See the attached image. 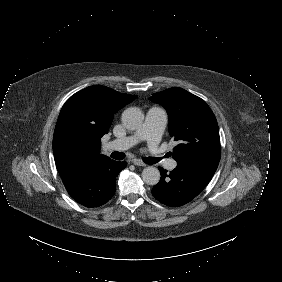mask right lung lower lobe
<instances>
[{
    "mask_svg": "<svg viewBox=\"0 0 282 282\" xmlns=\"http://www.w3.org/2000/svg\"><path fill=\"white\" fill-rule=\"evenodd\" d=\"M127 163L104 158L61 177L70 196L86 207L108 202L116 191V177Z\"/></svg>",
    "mask_w": 282,
    "mask_h": 282,
    "instance_id": "98d812e1",
    "label": "right lung lower lobe"
}]
</instances>
